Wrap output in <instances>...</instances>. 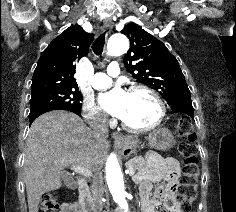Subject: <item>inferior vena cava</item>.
<instances>
[{"mask_svg":"<svg viewBox=\"0 0 236 212\" xmlns=\"http://www.w3.org/2000/svg\"><path fill=\"white\" fill-rule=\"evenodd\" d=\"M92 133L96 139L108 138V124L106 119H99L96 124L92 126ZM92 194L96 205V209H102V196H103V177L100 171H95L92 179Z\"/></svg>","mask_w":236,"mask_h":212,"instance_id":"inferior-vena-cava-1","label":"inferior vena cava"}]
</instances>
